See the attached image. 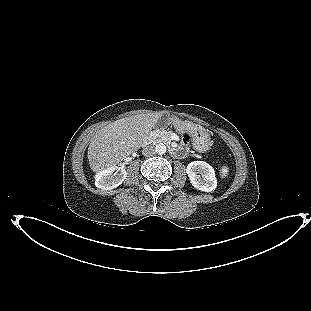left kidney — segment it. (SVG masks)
<instances>
[{
  "label": "left kidney",
  "instance_id": "5707ae66",
  "mask_svg": "<svg viewBox=\"0 0 311 311\" xmlns=\"http://www.w3.org/2000/svg\"><path fill=\"white\" fill-rule=\"evenodd\" d=\"M191 184L198 190L212 192L217 187L215 171L204 161H193L186 169Z\"/></svg>",
  "mask_w": 311,
  "mask_h": 311
}]
</instances>
